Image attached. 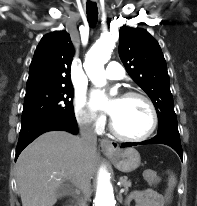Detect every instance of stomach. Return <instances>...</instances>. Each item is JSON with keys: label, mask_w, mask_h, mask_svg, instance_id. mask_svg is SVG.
I'll use <instances>...</instances> for the list:
<instances>
[{"label": "stomach", "mask_w": 197, "mask_h": 206, "mask_svg": "<svg viewBox=\"0 0 197 206\" xmlns=\"http://www.w3.org/2000/svg\"><path fill=\"white\" fill-rule=\"evenodd\" d=\"M107 155L115 167L124 173L136 170L141 164L140 154L134 148L117 149L112 153H107Z\"/></svg>", "instance_id": "obj_1"}]
</instances>
